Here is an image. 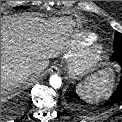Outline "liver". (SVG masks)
Listing matches in <instances>:
<instances>
[{"label": "liver", "instance_id": "6515ba94", "mask_svg": "<svg viewBox=\"0 0 122 122\" xmlns=\"http://www.w3.org/2000/svg\"><path fill=\"white\" fill-rule=\"evenodd\" d=\"M71 18L45 20L32 14L1 18V94H10L41 61L57 57L68 47Z\"/></svg>", "mask_w": 122, "mask_h": 122}]
</instances>
